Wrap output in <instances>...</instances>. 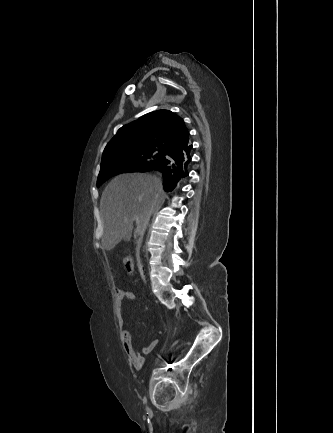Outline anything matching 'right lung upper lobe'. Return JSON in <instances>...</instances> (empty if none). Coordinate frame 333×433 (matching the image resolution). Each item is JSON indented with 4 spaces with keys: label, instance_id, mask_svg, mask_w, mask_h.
I'll return each mask as SVG.
<instances>
[{
    "label": "right lung upper lobe",
    "instance_id": "cb5924a9",
    "mask_svg": "<svg viewBox=\"0 0 333 433\" xmlns=\"http://www.w3.org/2000/svg\"><path fill=\"white\" fill-rule=\"evenodd\" d=\"M189 144L183 119L169 110H158L121 127L105 147L102 159L130 148H156L167 153Z\"/></svg>",
    "mask_w": 333,
    "mask_h": 433
}]
</instances>
